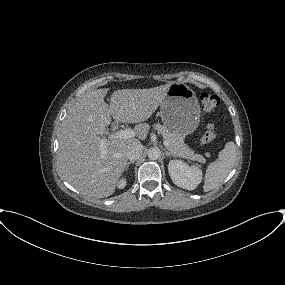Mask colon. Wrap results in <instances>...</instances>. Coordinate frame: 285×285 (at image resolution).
<instances>
[{
	"label": "colon",
	"mask_w": 285,
	"mask_h": 285,
	"mask_svg": "<svg viewBox=\"0 0 285 285\" xmlns=\"http://www.w3.org/2000/svg\"><path fill=\"white\" fill-rule=\"evenodd\" d=\"M200 101H201V107L205 112H211L215 110L220 104V99L217 95L207 92H204L200 95ZM216 134H217V126L214 121H210L207 124L204 133L202 134L201 143L203 145L211 143L215 139Z\"/></svg>",
	"instance_id": "colon-1"
}]
</instances>
